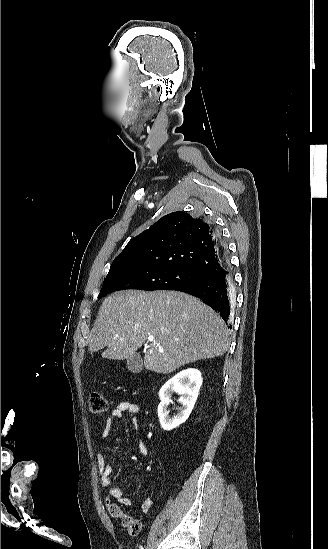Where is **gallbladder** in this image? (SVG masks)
Here are the masks:
<instances>
[{
  "instance_id": "gallbladder-1",
  "label": "gallbladder",
  "mask_w": 328,
  "mask_h": 549,
  "mask_svg": "<svg viewBox=\"0 0 328 549\" xmlns=\"http://www.w3.org/2000/svg\"><path fill=\"white\" fill-rule=\"evenodd\" d=\"M127 367L131 373H141L143 369L142 359L139 353H134L127 359Z\"/></svg>"
}]
</instances>
